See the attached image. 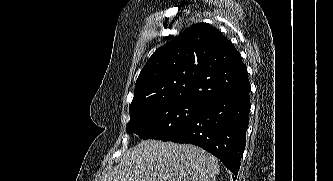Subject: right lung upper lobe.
Instances as JSON below:
<instances>
[{
  "label": "right lung upper lobe",
  "mask_w": 333,
  "mask_h": 181,
  "mask_svg": "<svg viewBox=\"0 0 333 181\" xmlns=\"http://www.w3.org/2000/svg\"><path fill=\"white\" fill-rule=\"evenodd\" d=\"M249 84L231 41L207 23L190 26L149 58L135 84L129 113L167 101L204 103Z\"/></svg>",
  "instance_id": "obj_1"
}]
</instances>
